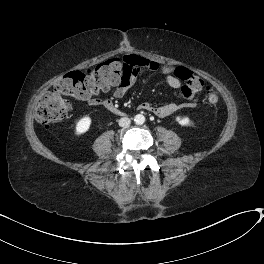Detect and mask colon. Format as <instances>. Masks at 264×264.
Here are the masks:
<instances>
[{"label":"colon","mask_w":264,"mask_h":264,"mask_svg":"<svg viewBox=\"0 0 264 264\" xmlns=\"http://www.w3.org/2000/svg\"><path fill=\"white\" fill-rule=\"evenodd\" d=\"M130 62V56L110 58L87 71H71L60 77L42 95L35 112L36 119L45 126L65 118L71 105L65 97L83 98L113 86ZM176 76L186 80V85L178 92L179 96L192 98L202 87V81L184 69H178ZM206 101L209 105L219 102L220 94L212 86H204Z\"/></svg>","instance_id":"obj_1"}]
</instances>
